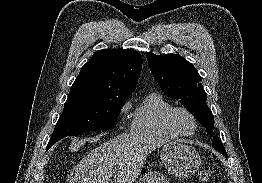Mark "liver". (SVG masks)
<instances>
[{
    "mask_svg": "<svg viewBox=\"0 0 262 183\" xmlns=\"http://www.w3.org/2000/svg\"><path fill=\"white\" fill-rule=\"evenodd\" d=\"M168 142L139 133H123L108 140L85 156L71 171L68 183H133L148 153Z\"/></svg>",
    "mask_w": 262,
    "mask_h": 183,
    "instance_id": "1",
    "label": "liver"
}]
</instances>
